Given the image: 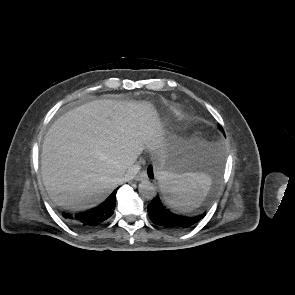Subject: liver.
<instances>
[{
    "label": "liver",
    "mask_w": 295,
    "mask_h": 295,
    "mask_svg": "<svg viewBox=\"0 0 295 295\" xmlns=\"http://www.w3.org/2000/svg\"><path fill=\"white\" fill-rule=\"evenodd\" d=\"M162 135L157 111L148 102L95 100L74 108L45 136L41 154L45 188L65 209L96 207L123 182L146 147L158 149L164 162Z\"/></svg>",
    "instance_id": "6515ba94"
}]
</instances>
